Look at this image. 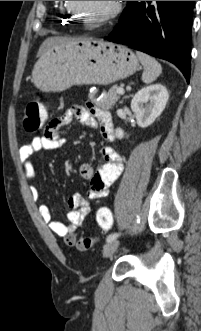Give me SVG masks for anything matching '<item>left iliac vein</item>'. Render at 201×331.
<instances>
[{"mask_svg": "<svg viewBox=\"0 0 201 331\" xmlns=\"http://www.w3.org/2000/svg\"><path fill=\"white\" fill-rule=\"evenodd\" d=\"M119 244L120 243L117 239L108 242L104 246L103 256L104 257H110L117 250V248L119 247Z\"/></svg>", "mask_w": 201, "mask_h": 331, "instance_id": "1", "label": "left iliac vein"}]
</instances>
